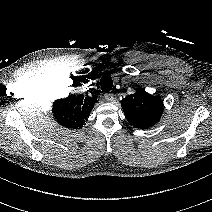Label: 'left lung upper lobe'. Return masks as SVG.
<instances>
[{
    "instance_id": "left-lung-upper-lobe-1",
    "label": "left lung upper lobe",
    "mask_w": 212,
    "mask_h": 212,
    "mask_svg": "<svg viewBox=\"0 0 212 212\" xmlns=\"http://www.w3.org/2000/svg\"><path fill=\"white\" fill-rule=\"evenodd\" d=\"M124 114L131 125L148 129L161 118L163 102L160 97L152 96L140 90L121 101Z\"/></svg>"
}]
</instances>
